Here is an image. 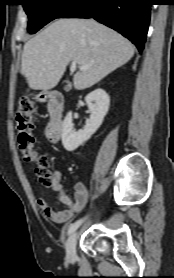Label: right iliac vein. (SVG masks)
Masks as SVG:
<instances>
[{"label":"right iliac vein","instance_id":"63e3f726","mask_svg":"<svg viewBox=\"0 0 174 278\" xmlns=\"http://www.w3.org/2000/svg\"><path fill=\"white\" fill-rule=\"evenodd\" d=\"M77 232L70 235L66 243V257L70 263H75L77 259L76 255V243H77Z\"/></svg>","mask_w":174,"mask_h":278}]
</instances>
